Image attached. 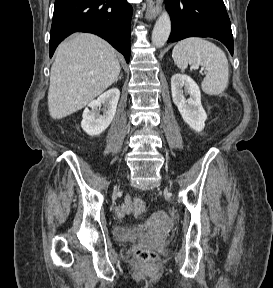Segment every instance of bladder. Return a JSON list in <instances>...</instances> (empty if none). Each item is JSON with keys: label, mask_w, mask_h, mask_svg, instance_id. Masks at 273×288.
Returning a JSON list of instances; mask_svg holds the SVG:
<instances>
[{"label": "bladder", "mask_w": 273, "mask_h": 288, "mask_svg": "<svg viewBox=\"0 0 273 288\" xmlns=\"http://www.w3.org/2000/svg\"><path fill=\"white\" fill-rule=\"evenodd\" d=\"M114 239L119 243L144 241L151 237V234L142 228L117 226L113 231Z\"/></svg>", "instance_id": "obj_1"}]
</instances>
